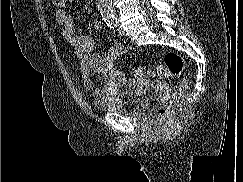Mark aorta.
Here are the masks:
<instances>
[{
  "mask_svg": "<svg viewBox=\"0 0 243 182\" xmlns=\"http://www.w3.org/2000/svg\"><path fill=\"white\" fill-rule=\"evenodd\" d=\"M97 8L105 21H113L115 16L112 9V0H96Z\"/></svg>",
  "mask_w": 243,
  "mask_h": 182,
  "instance_id": "obj_1",
  "label": "aorta"
}]
</instances>
